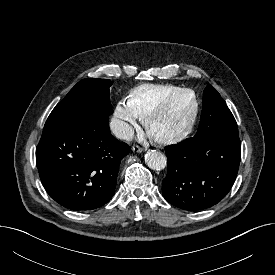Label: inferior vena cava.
I'll return each instance as SVG.
<instances>
[{
	"mask_svg": "<svg viewBox=\"0 0 275 275\" xmlns=\"http://www.w3.org/2000/svg\"><path fill=\"white\" fill-rule=\"evenodd\" d=\"M110 127L113 134L119 139L131 140L134 136L132 127L122 120L113 119L110 123Z\"/></svg>",
	"mask_w": 275,
	"mask_h": 275,
	"instance_id": "1",
	"label": "inferior vena cava"
}]
</instances>
